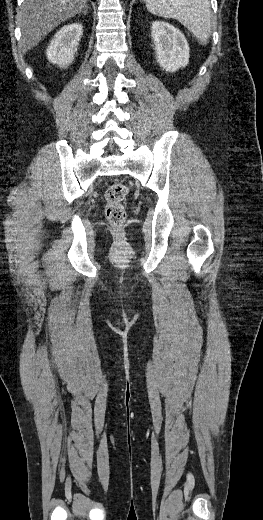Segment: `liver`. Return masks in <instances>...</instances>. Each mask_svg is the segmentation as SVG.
Listing matches in <instances>:
<instances>
[{"instance_id": "6515ba94", "label": "liver", "mask_w": 263, "mask_h": 520, "mask_svg": "<svg viewBox=\"0 0 263 520\" xmlns=\"http://www.w3.org/2000/svg\"><path fill=\"white\" fill-rule=\"evenodd\" d=\"M88 0H24L18 14L20 47L26 52L62 22L87 8Z\"/></svg>"}]
</instances>
